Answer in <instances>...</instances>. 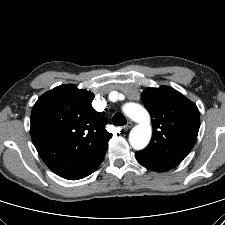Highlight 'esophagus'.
I'll list each match as a JSON object with an SVG mask.
<instances>
[{"instance_id": "obj_1", "label": "esophagus", "mask_w": 225, "mask_h": 225, "mask_svg": "<svg viewBox=\"0 0 225 225\" xmlns=\"http://www.w3.org/2000/svg\"><path fill=\"white\" fill-rule=\"evenodd\" d=\"M132 126H133V124H132L131 122H128V123L123 127V129H124L125 131H128Z\"/></svg>"}]
</instances>
